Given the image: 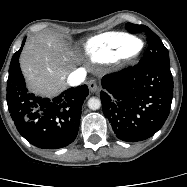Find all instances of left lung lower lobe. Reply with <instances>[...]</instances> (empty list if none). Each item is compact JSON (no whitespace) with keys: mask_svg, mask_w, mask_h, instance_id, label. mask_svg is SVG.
<instances>
[{"mask_svg":"<svg viewBox=\"0 0 187 187\" xmlns=\"http://www.w3.org/2000/svg\"><path fill=\"white\" fill-rule=\"evenodd\" d=\"M100 92L103 113L116 137L137 142L153 136L166 121L173 98L170 64L139 62L106 75Z\"/></svg>","mask_w":187,"mask_h":187,"instance_id":"obj_1","label":"left lung lower lobe"}]
</instances>
